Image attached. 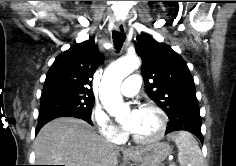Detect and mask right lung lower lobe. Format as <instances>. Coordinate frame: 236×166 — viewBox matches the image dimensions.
Masks as SVG:
<instances>
[{
	"label": "right lung lower lobe",
	"mask_w": 236,
	"mask_h": 166,
	"mask_svg": "<svg viewBox=\"0 0 236 166\" xmlns=\"http://www.w3.org/2000/svg\"><path fill=\"white\" fill-rule=\"evenodd\" d=\"M63 116H69V117H75V118H80V119H83L85 120L86 122H88L89 124L92 125V122H91V118H87L85 115L83 114H80V113H67ZM61 116V117H63ZM58 118V117H56ZM55 118H49V119H45V120H42V121H39L38 122V125H37V128H36V134L39 132V130L46 124L48 123L49 121L53 120Z\"/></svg>",
	"instance_id": "1"
}]
</instances>
